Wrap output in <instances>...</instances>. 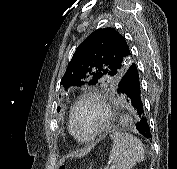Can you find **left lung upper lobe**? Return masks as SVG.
<instances>
[{
  "label": "left lung upper lobe",
  "mask_w": 177,
  "mask_h": 169,
  "mask_svg": "<svg viewBox=\"0 0 177 169\" xmlns=\"http://www.w3.org/2000/svg\"><path fill=\"white\" fill-rule=\"evenodd\" d=\"M132 61L128 43L119 32L114 28L98 29L77 47L61 84L65 89L104 82L117 87Z\"/></svg>",
  "instance_id": "obj_1"
}]
</instances>
